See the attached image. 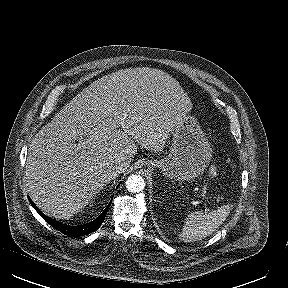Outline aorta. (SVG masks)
I'll return each mask as SVG.
<instances>
[{
	"instance_id": "aorta-1",
	"label": "aorta",
	"mask_w": 288,
	"mask_h": 288,
	"mask_svg": "<svg viewBox=\"0 0 288 288\" xmlns=\"http://www.w3.org/2000/svg\"><path fill=\"white\" fill-rule=\"evenodd\" d=\"M126 188L132 193L141 192L145 188V181L140 175H131L126 180Z\"/></svg>"
}]
</instances>
